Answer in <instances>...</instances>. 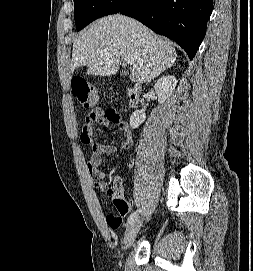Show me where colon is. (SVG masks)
Here are the masks:
<instances>
[{
    "instance_id": "1",
    "label": "colon",
    "mask_w": 253,
    "mask_h": 271,
    "mask_svg": "<svg viewBox=\"0 0 253 271\" xmlns=\"http://www.w3.org/2000/svg\"><path fill=\"white\" fill-rule=\"evenodd\" d=\"M72 90L78 103L83 107H90L99 101L101 97V91L96 86L90 85L81 78H74L72 80ZM106 115L115 120H119V115L114 111H107ZM105 191L108 196L112 199L114 206L116 207L117 214H109L106 216V221L109 227L117 228L122 223V217L126 210L127 203L123 198L121 187L118 183H113L108 186L105 185Z\"/></svg>"
}]
</instances>
